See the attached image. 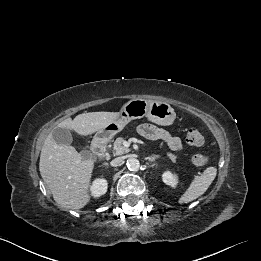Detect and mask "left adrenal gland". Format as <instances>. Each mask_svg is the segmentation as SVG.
Wrapping results in <instances>:
<instances>
[{"instance_id": "a2214340", "label": "left adrenal gland", "mask_w": 261, "mask_h": 261, "mask_svg": "<svg viewBox=\"0 0 261 261\" xmlns=\"http://www.w3.org/2000/svg\"><path fill=\"white\" fill-rule=\"evenodd\" d=\"M157 158H159V155H153V156L148 157V160H149L150 162H154L155 159H157Z\"/></svg>"}]
</instances>
